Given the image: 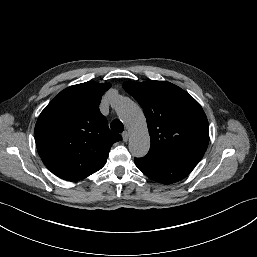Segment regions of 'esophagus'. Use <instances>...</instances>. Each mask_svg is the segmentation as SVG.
Listing matches in <instances>:
<instances>
[{
    "label": "esophagus",
    "mask_w": 257,
    "mask_h": 257,
    "mask_svg": "<svg viewBox=\"0 0 257 257\" xmlns=\"http://www.w3.org/2000/svg\"><path fill=\"white\" fill-rule=\"evenodd\" d=\"M128 138H129V135H128V132H123V134H122V139H123V141L124 142H127L128 141Z\"/></svg>",
    "instance_id": "34e87169"
}]
</instances>
